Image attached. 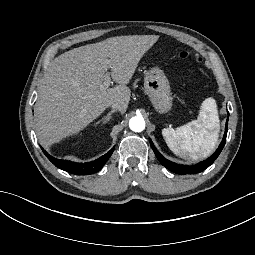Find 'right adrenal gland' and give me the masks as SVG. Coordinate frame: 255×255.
<instances>
[{
    "label": "right adrenal gland",
    "instance_id": "2a0ac1e0",
    "mask_svg": "<svg viewBox=\"0 0 255 255\" xmlns=\"http://www.w3.org/2000/svg\"><path fill=\"white\" fill-rule=\"evenodd\" d=\"M116 112V110H112V111H110L101 121H99L95 126L97 127V126H99V127H101V126H103L104 124H105V122H108L109 120H110V116L113 114V113H115Z\"/></svg>",
    "mask_w": 255,
    "mask_h": 255
}]
</instances>
